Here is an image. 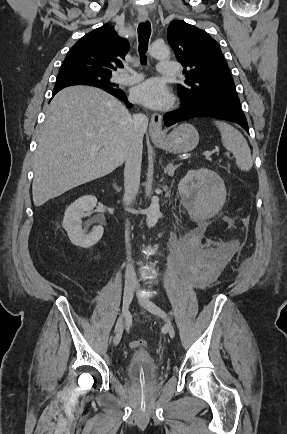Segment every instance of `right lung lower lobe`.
I'll use <instances>...</instances> for the list:
<instances>
[{
  "label": "right lung lower lobe",
  "mask_w": 287,
  "mask_h": 434,
  "mask_svg": "<svg viewBox=\"0 0 287 434\" xmlns=\"http://www.w3.org/2000/svg\"><path fill=\"white\" fill-rule=\"evenodd\" d=\"M62 88H64V87H61L60 89H62ZM60 89H58V90H53V96H54V95H55V94H56ZM105 91H106V90H105ZM107 92L110 93V94H112V95L115 96L116 98L122 100V101L127 105V107H132V104H130V103L128 102V100H127L126 94H125L123 91H121L120 89L108 90Z\"/></svg>",
  "instance_id": "right-lung-lower-lobe-1"
}]
</instances>
